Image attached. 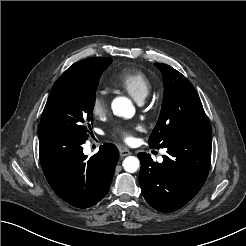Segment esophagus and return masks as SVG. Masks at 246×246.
I'll return each mask as SVG.
<instances>
[{
	"label": "esophagus",
	"instance_id": "34e87169",
	"mask_svg": "<svg viewBox=\"0 0 246 246\" xmlns=\"http://www.w3.org/2000/svg\"><path fill=\"white\" fill-rule=\"evenodd\" d=\"M131 154V151H129L128 149H120V156L125 157Z\"/></svg>",
	"mask_w": 246,
	"mask_h": 246
}]
</instances>
